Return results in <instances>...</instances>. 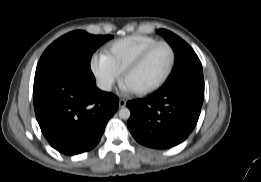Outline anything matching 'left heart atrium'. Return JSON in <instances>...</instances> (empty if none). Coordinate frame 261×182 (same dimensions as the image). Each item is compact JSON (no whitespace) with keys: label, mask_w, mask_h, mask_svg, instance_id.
Here are the masks:
<instances>
[{"label":"left heart atrium","mask_w":261,"mask_h":182,"mask_svg":"<svg viewBox=\"0 0 261 182\" xmlns=\"http://www.w3.org/2000/svg\"><path fill=\"white\" fill-rule=\"evenodd\" d=\"M125 89H126L127 91H132L131 88H130L129 86H127L126 84H125Z\"/></svg>","instance_id":"left-heart-atrium-1"}]
</instances>
